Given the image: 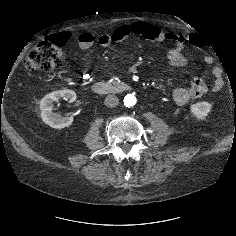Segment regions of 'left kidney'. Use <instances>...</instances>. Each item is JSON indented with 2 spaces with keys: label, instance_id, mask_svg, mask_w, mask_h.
I'll return each instance as SVG.
<instances>
[{
  "label": "left kidney",
  "instance_id": "left-kidney-1",
  "mask_svg": "<svg viewBox=\"0 0 236 236\" xmlns=\"http://www.w3.org/2000/svg\"><path fill=\"white\" fill-rule=\"evenodd\" d=\"M211 109L212 105L205 101L197 102L190 107L191 113L198 119L205 118L211 112Z\"/></svg>",
  "mask_w": 236,
  "mask_h": 236
}]
</instances>
